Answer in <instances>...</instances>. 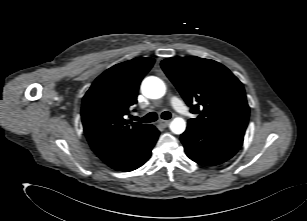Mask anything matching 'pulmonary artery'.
Returning a JSON list of instances; mask_svg holds the SVG:
<instances>
[{
  "label": "pulmonary artery",
  "instance_id": "obj_1",
  "mask_svg": "<svg viewBox=\"0 0 307 221\" xmlns=\"http://www.w3.org/2000/svg\"><path fill=\"white\" fill-rule=\"evenodd\" d=\"M170 105L180 114H186L187 108L182 103L179 97L177 96H171L169 99Z\"/></svg>",
  "mask_w": 307,
  "mask_h": 221
}]
</instances>
